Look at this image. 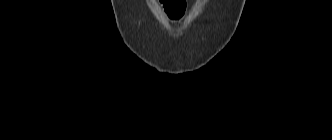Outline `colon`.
I'll list each match as a JSON object with an SVG mask.
<instances>
[{
  "label": "colon",
  "instance_id": "colon-1",
  "mask_svg": "<svg viewBox=\"0 0 332 140\" xmlns=\"http://www.w3.org/2000/svg\"><path fill=\"white\" fill-rule=\"evenodd\" d=\"M159 2L167 13L174 18L179 17L185 8V0H159Z\"/></svg>",
  "mask_w": 332,
  "mask_h": 140
}]
</instances>
